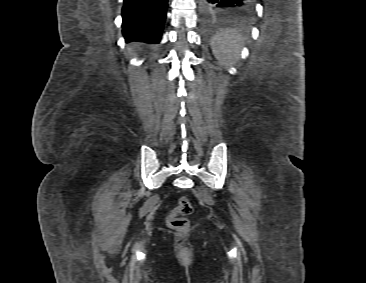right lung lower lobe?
Masks as SVG:
<instances>
[{"label": "right lung lower lobe", "instance_id": "1", "mask_svg": "<svg viewBox=\"0 0 366 283\" xmlns=\"http://www.w3.org/2000/svg\"><path fill=\"white\" fill-rule=\"evenodd\" d=\"M168 0H124L123 36L127 42H160Z\"/></svg>", "mask_w": 366, "mask_h": 283}]
</instances>
